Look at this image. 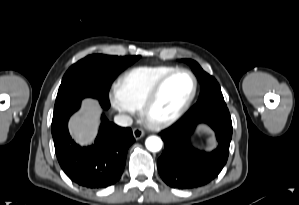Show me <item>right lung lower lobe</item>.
I'll return each mask as SVG.
<instances>
[{
  "label": "right lung lower lobe",
  "instance_id": "98d812e1",
  "mask_svg": "<svg viewBox=\"0 0 299 205\" xmlns=\"http://www.w3.org/2000/svg\"><path fill=\"white\" fill-rule=\"evenodd\" d=\"M106 110L109 101H100ZM78 101L53 115L52 136L58 162L66 175L75 183L91 188H105L121 177L129 146L135 141L130 128L109 122L102 115L95 143L80 147L68 132V119L80 108Z\"/></svg>",
  "mask_w": 299,
  "mask_h": 205
}]
</instances>
